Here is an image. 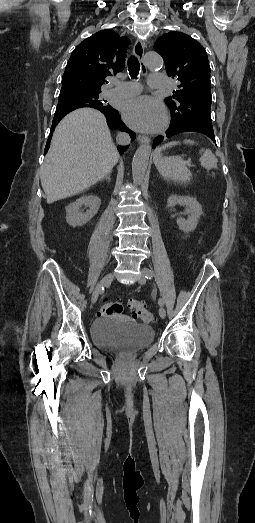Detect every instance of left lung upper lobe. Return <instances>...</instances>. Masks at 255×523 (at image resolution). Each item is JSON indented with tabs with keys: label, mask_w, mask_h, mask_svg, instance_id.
<instances>
[{
	"label": "left lung upper lobe",
	"mask_w": 255,
	"mask_h": 523,
	"mask_svg": "<svg viewBox=\"0 0 255 523\" xmlns=\"http://www.w3.org/2000/svg\"><path fill=\"white\" fill-rule=\"evenodd\" d=\"M154 49L163 57L168 76L180 81L179 90L165 99L171 123L197 125L214 134L210 65L204 47L190 36L172 31L159 37Z\"/></svg>",
	"instance_id": "1"
}]
</instances>
